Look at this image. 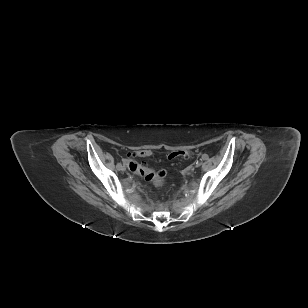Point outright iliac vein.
Here are the masks:
<instances>
[{"instance_id":"right-iliac-vein-1","label":"right iliac vein","mask_w":308,"mask_h":308,"mask_svg":"<svg viewBox=\"0 0 308 308\" xmlns=\"http://www.w3.org/2000/svg\"><path fill=\"white\" fill-rule=\"evenodd\" d=\"M117 169L121 170V171H125L126 167L124 165L120 164V165L117 166Z\"/></svg>"}]
</instances>
